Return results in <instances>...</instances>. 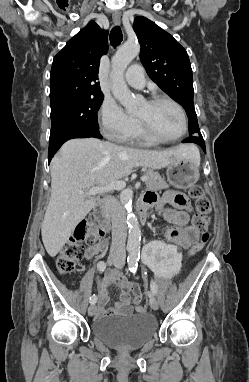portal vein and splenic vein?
I'll list each match as a JSON object with an SVG mask.
<instances>
[{
	"mask_svg": "<svg viewBox=\"0 0 249 382\" xmlns=\"http://www.w3.org/2000/svg\"><path fill=\"white\" fill-rule=\"evenodd\" d=\"M140 180L142 182H145V181L148 180V178L146 176H142L140 178ZM125 186H126V182H124L122 180H117V181H113V182L109 183L108 185H106L104 187H94V188H91L87 192H85L84 194L86 196L91 197V196L96 195V194L106 193V192H108L110 190H121Z\"/></svg>",
	"mask_w": 249,
	"mask_h": 382,
	"instance_id": "portal-vein-and-splenic-vein-1",
	"label": "portal vein and splenic vein"
}]
</instances>
